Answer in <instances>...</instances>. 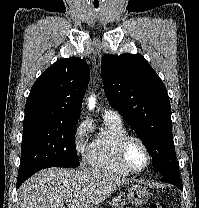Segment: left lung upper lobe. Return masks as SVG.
I'll return each mask as SVG.
<instances>
[{"mask_svg":"<svg viewBox=\"0 0 199 208\" xmlns=\"http://www.w3.org/2000/svg\"><path fill=\"white\" fill-rule=\"evenodd\" d=\"M105 94L152 156L161 175L179 172L166 88L141 55H105L101 62Z\"/></svg>","mask_w":199,"mask_h":208,"instance_id":"5c2ea615","label":"left lung upper lobe"}]
</instances>
